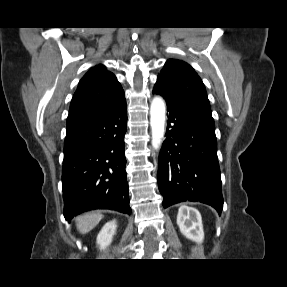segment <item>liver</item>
Returning a JSON list of instances; mask_svg holds the SVG:
<instances>
[{
    "mask_svg": "<svg viewBox=\"0 0 287 287\" xmlns=\"http://www.w3.org/2000/svg\"><path fill=\"white\" fill-rule=\"evenodd\" d=\"M103 215L99 212L86 213L76 218V226L81 234L90 232L97 226Z\"/></svg>",
    "mask_w": 287,
    "mask_h": 287,
    "instance_id": "1",
    "label": "liver"
}]
</instances>
